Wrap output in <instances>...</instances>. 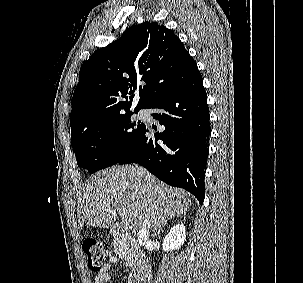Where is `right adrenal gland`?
Wrapping results in <instances>:
<instances>
[{
    "instance_id": "right-adrenal-gland-1",
    "label": "right adrenal gland",
    "mask_w": 303,
    "mask_h": 283,
    "mask_svg": "<svg viewBox=\"0 0 303 283\" xmlns=\"http://www.w3.org/2000/svg\"><path fill=\"white\" fill-rule=\"evenodd\" d=\"M165 225H166V224L164 223L158 230H156V231L154 232V235L159 234L160 231H161V229H162V227L165 226Z\"/></svg>"
}]
</instances>
